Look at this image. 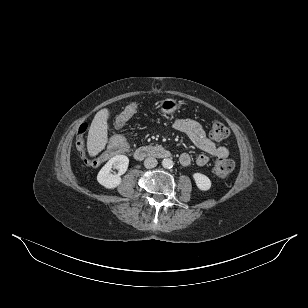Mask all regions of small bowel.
<instances>
[{
	"mask_svg": "<svg viewBox=\"0 0 308 308\" xmlns=\"http://www.w3.org/2000/svg\"><path fill=\"white\" fill-rule=\"evenodd\" d=\"M173 127L177 131L184 133L191 143L202 151V153L196 157V163L199 166L206 165L209 162V156L224 158L228 156V149L224 146H217L213 141H211L206 136L201 124L197 121L180 118L174 121ZM179 160L183 166H188L191 163V156L188 153H182Z\"/></svg>",
	"mask_w": 308,
	"mask_h": 308,
	"instance_id": "c3829d8e",
	"label": "small bowel"
}]
</instances>
